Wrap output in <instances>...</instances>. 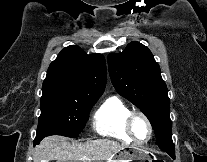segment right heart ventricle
<instances>
[{"label": "right heart ventricle", "mask_w": 207, "mask_h": 162, "mask_svg": "<svg viewBox=\"0 0 207 162\" xmlns=\"http://www.w3.org/2000/svg\"><path fill=\"white\" fill-rule=\"evenodd\" d=\"M131 112L120 97L109 96L96 108L93 114V128L101 136L131 142L125 130V121Z\"/></svg>", "instance_id": "right-heart-ventricle-1"}]
</instances>
